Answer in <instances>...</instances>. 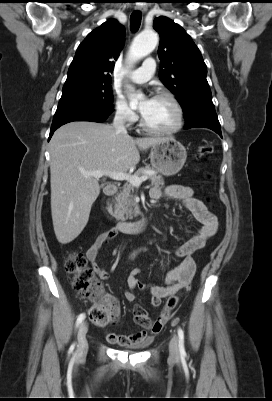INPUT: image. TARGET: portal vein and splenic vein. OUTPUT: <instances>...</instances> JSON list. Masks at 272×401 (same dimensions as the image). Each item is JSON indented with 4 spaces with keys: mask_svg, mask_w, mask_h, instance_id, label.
Masks as SVG:
<instances>
[{
    "mask_svg": "<svg viewBox=\"0 0 272 401\" xmlns=\"http://www.w3.org/2000/svg\"><path fill=\"white\" fill-rule=\"evenodd\" d=\"M82 175L85 177L91 176L94 178H101L103 176H108V177L112 178L113 180L127 181L135 187H139L142 184V182H144L148 179V177L146 175L138 177L136 175H131V174H128L125 172L102 171V170L82 171Z\"/></svg>",
    "mask_w": 272,
    "mask_h": 401,
    "instance_id": "18ae733b",
    "label": "portal vein and splenic vein"
}]
</instances>
